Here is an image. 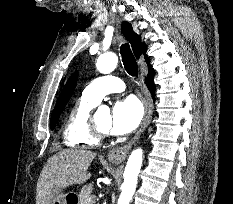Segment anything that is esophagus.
Returning a JSON list of instances; mask_svg holds the SVG:
<instances>
[{
  "label": "esophagus",
  "instance_id": "1",
  "mask_svg": "<svg viewBox=\"0 0 233 204\" xmlns=\"http://www.w3.org/2000/svg\"><path fill=\"white\" fill-rule=\"evenodd\" d=\"M140 81L143 84L142 75L140 76ZM142 94H143V103H144V107H145V114H144V118L142 120V123L140 125V128L138 129L136 135L132 138V140H130L127 144L120 146V147H116V148L112 149L111 151H109L108 159L111 161H115V162L123 161L126 158L131 147L136 143V141L139 140L142 133L144 132V130L146 129V127L149 125V123L151 121V118H152V99H151L149 91L147 90V88L145 87L144 84L142 87Z\"/></svg>",
  "mask_w": 233,
  "mask_h": 204
}]
</instances>
